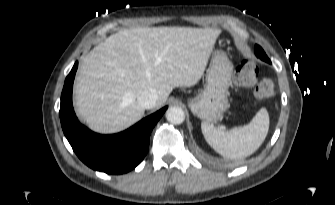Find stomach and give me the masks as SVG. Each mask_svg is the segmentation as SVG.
<instances>
[{
	"label": "stomach",
	"instance_id": "obj_1",
	"mask_svg": "<svg viewBox=\"0 0 335 205\" xmlns=\"http://www.w3.org/2000/svg\"><path fill=\"white\" fill-rule=\"evenodd\" d=\"M233 65L227 54L215 50L207 69L204 90L188 100L191 112L207 122L222 119L228 108V88L231 84Z\"/></svg>",
	"mask_w": 335,
	"mask_h": 205
}]
</instances>
